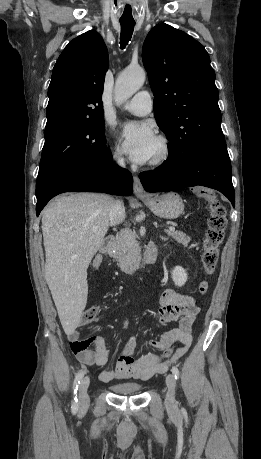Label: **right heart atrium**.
<instances>
[{
  "label": "right heart atrium",
  "mask_w": 261,
  "mask_h": 459,
  "mask_svg": "<svg viewBox=\"0 0 261 459\" xmlns=\"http://www.w3.org/2000/svg\"><path fill=\"white\" fill-rule=\"evenodd\" d=\"M113 159L115 161V163L119 166V167H123L125 165V158L122 154V151L121 149L116 146L113 150Z\"/></svg>",
  "instance_id": "d8ad5b80"
}]
</instances>
